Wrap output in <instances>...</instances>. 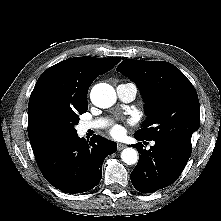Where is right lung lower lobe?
<instances>
[{"instance_id":"1","label":"right lung lower lobe","mask_w":221,"mask_h":221,"mask_svg":"<svg viewBox=\"0 0 221 221\" xmlns=\"http://www.w3.org/2000/svg\"><path fill=\"white\" fill-rule=\"evenodd\" d=\"M117 145L94 135L85 141L76 135L56 140L34 153L45 179L65 193L86 192L102 177L106 156L115 153Z\"/></svg>"}]
</instances>
